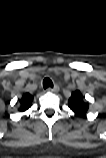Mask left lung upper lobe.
Masks as SVG:
<instances>
[{
	"mask_svg": "<svg viewBox=\"0 0 106 158\" xmlns=\"http://www.w3.org/2000/svg\"><path fill=\"white\" fill-rule=\"evenodd\" d=\"M68 105L76 115L82 117L86 115L89 108V104L84 102L83 96L79 90L72 93Z\"/></svg>",
	"mask_w": 106,
	"mask_h": 158,
	"instance_id": "1",
	"label": "left lung upper lobe"
}]
</instances>
